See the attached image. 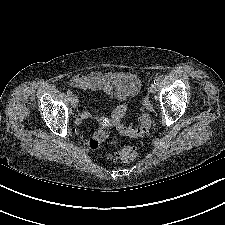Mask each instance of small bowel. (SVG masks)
Wrapping results in <instances>:
<instances>
[{
  "label": "small bowel",
  "mask_w": 225,
  "mask_h": 225,
  "mask_svg": "<svg viewBox=\"0 0 225 225\" xmlns=\"http://www.w3.org/2000/svg\"><path fill=\"white\" fill-rule=\"evenodd\" d=\"M70 83L76 88L86 91L91 90L94 92L103 91L111 97H115L116 93L119 92L126 96H133L137 94L141 88L140 80L129 72H109L102 73L99 71L91 72L90 74H76L71 77ZM123 111V106H119L113 113L116 117ZM88 111L80 112L76 117V124L81 125L84 120L90 117ZM104 124H107L102 120ZM95 136L90 139H85V143L92 149L96 148Z\"/></svg>",
  "instance_id": "1"
}]
</instances>
